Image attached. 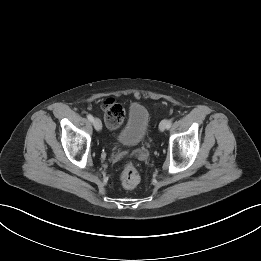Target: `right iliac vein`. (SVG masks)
I'll return each mask as SVG.
<instances>
[{
    "instance_id": "right-iliac-vein-1",
    "label": "right iliac vein",
    "mask_w": 261,
    "mask_h": 261,
    "mask_svg": "<svg viewBox=\"0 0 261 261\" xmlns=\"http://www.w3.org/2000/svg\"><path fill=\"white\" fill-rule=\"evenodd\" d=\"M93 125H94V128H95L97 131H100V130L102 129V123H101L100 119H98V118H95V119H94Z\"/></svg>"
}]
</instances>
